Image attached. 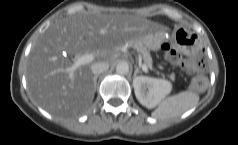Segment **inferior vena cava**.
I'll list each match as a JSON object with an SVG mask.
<instances>
[{
	"label": "inferior vena cava",
	"instance_id": "obj_1",
	"mask_svg": "<svg viewBox=\"0 0 238 145\" xmlns=\"http://www.w3.org/2000/svg\"><path fill=\"white\" fill-rule=\"evenodd\" d=\"M108 69H109V64L106 62L94 63L91 66V71L95 76L101 74L102 72Z\"/></svg>",
	"mask_w": 238,
	"mask_h": 145
}]
</instances>
